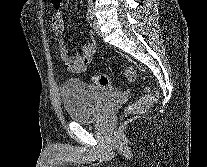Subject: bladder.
<instances>
[{"label": "bladder", "mask_w": 207, "mask_h": 167, "mask_svg": "<svg viewBox=\"0 0 207 167\" xmlns=\"http://www.w3.org/2000/svg\"><path fill=\"white\" fill-rule=\"evenodd\" d=\"M61 97L66 113L72 121L92 123L102 118L119 97V92L79 79H69L62 87Z\"/></svg>", "instance_id": "bladder-1"}]
</instances>
